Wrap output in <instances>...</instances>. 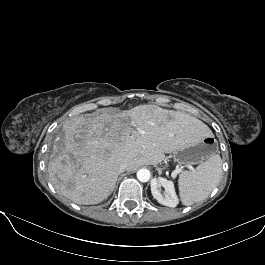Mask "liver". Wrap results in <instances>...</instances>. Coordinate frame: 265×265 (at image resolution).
Segmentation results:
<instances>
[{
	"instance_id": "liver-1",
	"label": "liver",
	"mask_w": 265,
	"mask_h": 265,
	"mask_svg": "<svg viewBox=\"0 0 265 265\" xmlns=\"http://www.w3.org/2000/svg\"><path fill=\"white\" fill-rule=\"evenodd\" d=\"M209 132L200 120L156 105L73 117L63 123L48 174L56 190L74 203L98 204L114 190L121 163H128L129 171L157 165L165 153Z\"/></svg>"
}]
</instances>
